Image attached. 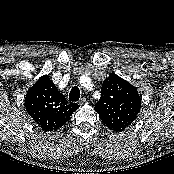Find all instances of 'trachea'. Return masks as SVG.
Returning a JSON list of instances; mask_svg holds the SVG:
<instances>
[{
    "instance_id": "trachea-1",
    "label": "trachea",
    "mask_w": 174,
    "mask_h": 174,
    "mask_svg": "<svg viewBox=\"0 0 174 174\" xmlns=\"http://www.w3.org/2000/svg\"><path fill=\"white\" fill-rule=\"evenodd\" d=\"M80 98V89L78 87H73L69 93V100L76 102Z\"/></svg>"
}]
</instances>
